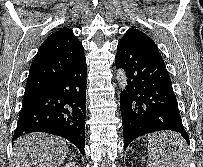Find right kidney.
<instances>
[{
	"label": "right kidney",
	"mask_w": 203,
	"mask_h": 167,
	"mask_svg": "<svg viewBox=\"0 0 203 167\" xmlns=\"http://www.w3.org/2000/svg\"><path fill=\"white\" fill-rule=\"evenodd\" d=\"M63 167H78L75 162H69Z\"/></svg>",
	"instance_id": "1"
}]
</instances>
